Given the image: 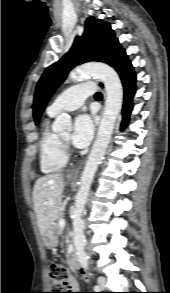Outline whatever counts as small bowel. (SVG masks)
I'll return each instance as SVG.
<instances>
[{
  "label": "small bowel",
  "mask_w": 170,
  "mask_h": 293,
  "mask_svg": "<svg viewBox=\"0 0 170 293\" xmlns=\"http://www.w3.org/2000/svg\"><path fill=\"white\" fill-rule=\"evenodd\" d=\"M70 284L73 286V287H76L77 284H76V281L74 279H71L70 280Z\"/></svg>",
  "instance_id": "1"
}]
</instances>
